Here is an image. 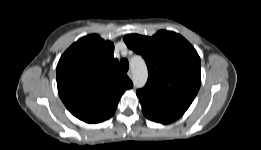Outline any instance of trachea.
<instances>
[{"mask_svg":"<svg viewBox=\"0 0 261 150\" xmlns=\"http://www.w3.org/2000/svg\"><path fill=\"white\" fill-rule=\"evenodd\" d=\"M120 66H121L122 70L128 71V69H129V62H128V60L127 59H122L120 61Z\"/></svg>","mask_w":261,"mask_h":150,"instance_id":"obj_1","label":"trachea"}]
</instances>
